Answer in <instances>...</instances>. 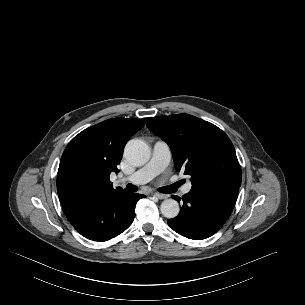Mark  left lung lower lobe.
<instances>
[{
  "mask_svg": "<svg viewBox=\"0 0 305 305\" xmlns=\"http://www.w3.org/2000/svg\"><path fill=\"white\" fill-rule=\"evenodd\" d=\"M238 194V187L192 189L182 198L183 205L177 217L168 225L180 235L202 240L216 233L229 218ZM178 202V196H173Z\"/></svg>",
  "mask_w": 305,
  "mask_h": 305,
  "instance_id": "obj_1",
  "label": "left lung lower lobe"
}]
</instances>
